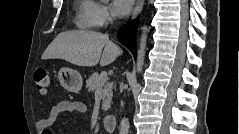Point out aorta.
Listing matches in <instances>:
<instances>
[{"label":"aorta","mask_w":239,"mask_h":134,"mask_svg":"<svg viewBox=\"0 0 239 134\" xmlns=\"http://www.w3.org/2000/svg\"><path fill=\"white\" fill-rule=\"evenodd\" d=\"M141 30H142V34L140 37V43H139V48H138V53H137V63H136V70L138 73L142 71V68L144 65L146 44H147V35H148L149 29L147 26H142ZM119 131H120V134H128V131H129L128 118H123L121 120Z\"/></svg>","instance_id":"1"}]
</instances>
